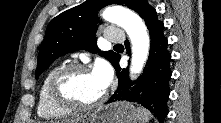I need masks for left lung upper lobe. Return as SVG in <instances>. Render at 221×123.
<instances>
[{
    "label": "left lung upper lobe",
    "instance_id": "left-lung-upper-lobe-1",
    "mask_svg": "<svg viewBox=\"0 0 221 123\" xmlns=\"http://www.w3.org/2000/svg\"><path fill=\"white\" fill-rule=\"evenodd\" d=\"M110 4L126 6L139 13L147 4L146 0H87L51 20L45 38L40 46L36 79L57 58L80 49L98 53L112 64L117 54L114 51H101L97 46V12Z\"/></svg>",
    "mask_w": 221,
    "mask_h": 123
}]
</instances>
